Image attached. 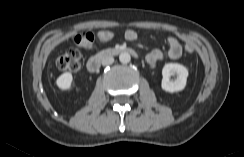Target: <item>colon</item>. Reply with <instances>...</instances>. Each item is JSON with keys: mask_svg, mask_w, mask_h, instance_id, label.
I'll use <instances>...</instances> for the list:
<instances>
[{"mask_svg": "<svg viewBox=\"0 0 244 157\" xmlns=\"http://www.w3.org/2000/svg\"><path fill=\"white\" fill-rule=\"evenodd\" d=\"M115 33L112 31H101L97 35L85 31L75 37V44L84 49L91 48L95 41L108 42L114 39ZM194 50L191 44L185 45V51L192 53ZM81 51L78 48H71L56 59V66L61 71L77 72L80 69Z\"/></svg>", "mask_w": 244, "mask_h": 157, "instance_id": "1", "label": "colon"}]
</instances>
